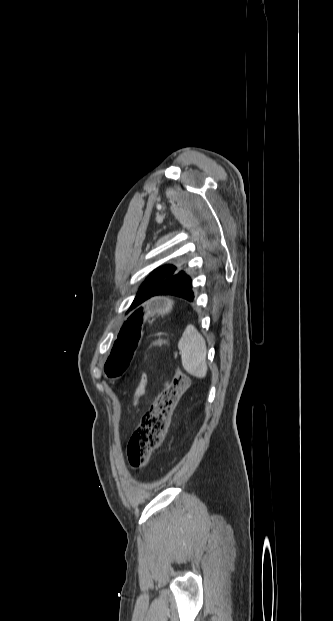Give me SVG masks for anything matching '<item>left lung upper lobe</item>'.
Segmentation results:
<instances>
[{"label":"left lung upper lobe","mask_w":333,"mask_h":621,"mask_svg":"<svg viewBox=\"0 0 333 621\" xmlns=\"http://www.w3.org/2000/svg\"><path fill=\"white\" fill-rule=\"evenodd\" d=\"M182 274L185 273L183 271L177 270V268L172 265H166L154 270L151 275L147 277L145 282L140 286L139 291L131 307L129 308V311L137 307L144 301L148 300L149 298L153 297L155 292L159 290L162 286Z\"/></svg>","instance_id":"1"}]
</instances>
